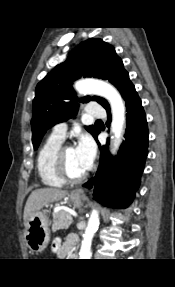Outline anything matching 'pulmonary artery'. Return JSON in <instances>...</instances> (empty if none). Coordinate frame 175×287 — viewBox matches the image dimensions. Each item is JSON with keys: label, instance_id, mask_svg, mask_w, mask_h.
I'll use <instances>...</instances> for the list:
<instances>
[{"label": "pulmonary artery", "instance_id": "obj_1", "mask_svg": "<svg viewBox=\"0 0 175 287\" xmlns=\"http://www.w3.org/2000/svg\"><path fill=\"white\" fill-rule=\"evenodd\" d=\"M86 113L93 117H103L105 116V109L98 104H89L86 108ZM67 134V124L59 123L53 127L52 135L64 140Z\"/></svg>", "mask_w": 175, "mask_h": 287}]
</instances>
